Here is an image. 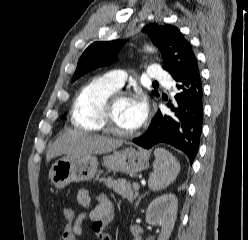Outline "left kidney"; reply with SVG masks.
<instances>
[{
	"mask_svg": "<svg viewBox=\"0 0 248 240\" xmlns=\"http://www.w3.org/2000/svg\"><path fill=\"white\" fill-rule=\"evenodd\" d=\"M178 199L173 194H164L155 198L146 211V222L160 225L161 233L158 240H168L177 217Z\"/></svg>",
	"mask_w": 248,
	"mask_h": 240,
	"instance_id": "1",
	"label": "left kidney"
}]
</instances>
